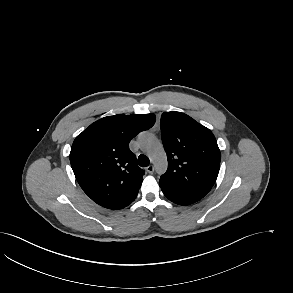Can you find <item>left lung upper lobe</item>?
I'll return each mask as SVG.
<instances>
[{
	"mask_svg": "<svg viewBox=\"0 0 293 293\" xmlns=\"http://www.w3.org/2000/svg\"><path fill=\"white\" fill-rule=\"evenodd\" d=\"M161 137L168 169L160 184L177 192L204 197L213 187L221 154L213 133L188 115L171 111L161 116Z\"/></svg>",
	"mask_w": 293,
	"mask_h": 293,
	"instance_id": "1",
	"label": "left lung upper lobe"
}]
</instances>
